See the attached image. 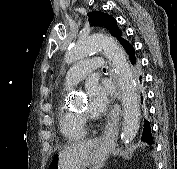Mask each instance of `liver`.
Segmentation results:
<instances>
[{
	"instance_id": "1",
	"label": "liver",
	"mask_w": 177,
	"mask_h": 169,
	"mask_svg": "<svg viewBox=\"0 0 177 169\" xmlns=\"http://www.w3.org/2000/svg\"><path fill=\"white\" fill-rule=\"evenodd\" d=\"M98 140H88L68 146L58 155V169H81Z\"/></svg>"
}]
</instances>
